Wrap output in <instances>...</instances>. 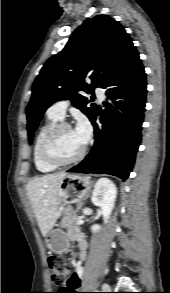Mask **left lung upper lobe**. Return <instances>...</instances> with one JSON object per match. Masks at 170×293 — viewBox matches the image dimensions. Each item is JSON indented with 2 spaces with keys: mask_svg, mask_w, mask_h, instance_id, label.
I'll use <instances>...</instances> for the list:
<instances>
[{
  "mask_svg": "<svg viewBox=\"0 0 170 293\" xmlns=\"http://www.w3.org/2000/svg\"><path fill=\"white\" fill-rule=\"evenodd\" d=\"M132 46L124 27L109 16H95L78 27L63 50L48 59L33 84L26 108L29 141L46 109L61 99H71L92 120L96 105L87 107L89 101L78 92L102 88ZM86 77L91 84L85 83Z\"/></svg>",
  "mask_w": 170,
  "mask_h": 293,
  "instance_id": "1",
  "label": "left lung upper lobe"
}]
</instances>
